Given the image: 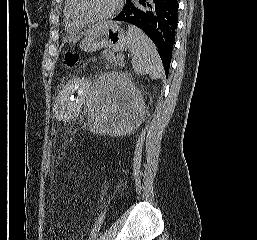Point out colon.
Listing matches in <instances>:
<instances>
[{
    "instance_id": "obj_1",
    "label": "colon",
    "mask_w": 257,
    "mask_h": 240,
    "mask_svg": "<svg viewBox=\"0 0 257 240\" xmlns=\"http://www.w3.org/2000/svg\"><path fill=\"white\" fill-rule=\"evenodd\" d=\"M79 62V55L74 51H68L64 55V64L67 68L75 67ZM55 155L53 152L52 145L49 144L47 148L46 155V172L47 174H51L54 167Z\"/></svg>"
}]
</instances>
